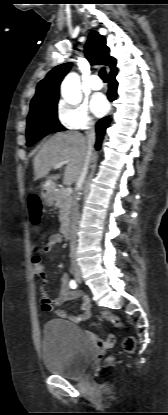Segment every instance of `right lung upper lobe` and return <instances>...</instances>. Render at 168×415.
Listing matches in <instances>:
<instances>
[{"mask_svg":"<svg viewBox=\"0 0 168 415\" xmlns=\"http://www.w3.org/2000/svg\"><path fill=\"white\" fill-rule=\"evenodd\" d=\"M85 55L92 63L109 66L111 72L117 70L116 60L109 56V47L106 46V39L96 31H91L89 34L85 45ZM71 66V63L58 65L39 82L36 93L30 103V111L58 101L60 83L69 72Z\"/></svg>","mask_w":168,"mask_h":415,"instance_id":"cb5924a9","label":"right lung upper lobe"}]
</instances>
